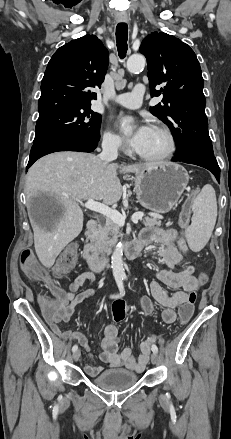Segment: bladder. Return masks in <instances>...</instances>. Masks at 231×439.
I'll return each mask as SVG.
<instances>
[{"label": "bladder", "mask_w": 231, "mask_h": 439, "mask_svg": "<svg viewBox=\"0 0 231 439\" xmlns=\"http://www.w3.org/2000/svg\"><path fill=\"white\" fill-rule=\"evenodd\" d=\"M138 381L136 373L126 369H107L92 379V382L106 390H120L132 387Z\"/></svg>", "instance_id": "bladder-1"}]
</instances>
